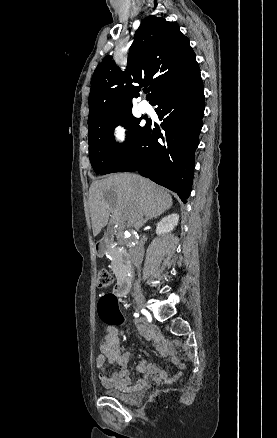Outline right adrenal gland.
<instances>
[{"instance_id":"right-adrenal-gland-1","label":"right adrenal gland","mask_w":277,"mask_h":438,"mask_svg":"<svg viewBox=\"0 0 277 438\" xmlns=\"http://www.w3.org/2000/svg\"><path fill=\"white\" fill-rule=\"evenodd\" d=\"M144 222H147V218H145Z\"/></svg>"}]
</instances>
